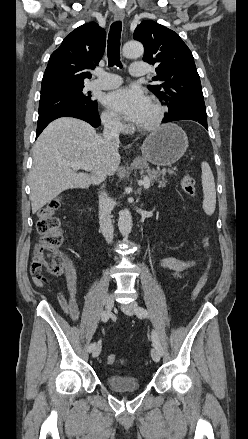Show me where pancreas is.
Here are the masks:
<instances>
[{
	"mask_svg": "<svg viewBox=\"0 0 248 439\" xmlns=\"http://www.w3.org/2000/svg\"><path fill=\"white\" fill-rule=\"evenodd\" d=\"M174 170H176V168L168 169V170H166V169H162V170H160V169H157V170L147 169V173H148L147 177L151 182H154V181L158 182L159 187H165L167 184V181L165 180L164 176L167 173L174 174Z\"/></svg>",
	"mask_w": 248,
	"mask_h": 439,
	"instance_id": "cf45deb5",
	"label": "pancreas"
}]
</instances>
